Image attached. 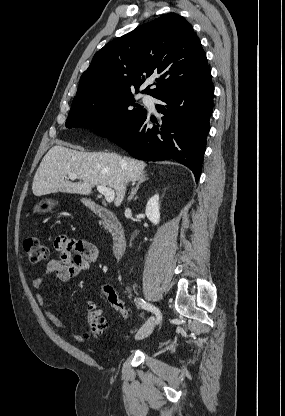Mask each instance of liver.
<instances>
[{"label":"liver","mask_w":285,"mask_h":416,"mask_svg":"<svg viewBox=\"0 0 285 416\" xmlns=\"http://www.w3.org/2000/svg\"><path fill=\"white\" fill-rule=\"evenodd\" d=\"M64 146L70 144H57L44 156L34 176V196L57 192L89 196L95 186H107L115 190V206H121L128 182H135L144 174V162L105 152H77L70 150L76 146ZM68 174H77L81 182L64 180Z\"/></svg>","instance_id":"6515ba94"}]
</instances>
